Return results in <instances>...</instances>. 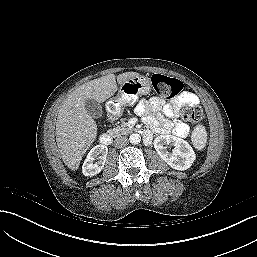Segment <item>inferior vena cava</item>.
<instances>
[{
  "instance_id": "inferior-vena-cava-1",
  "label": "inferior vena cava",
  "mask_w": 257,
  "mask_h": 257,
  "mask_svg": "<svg viewBox=\"0 0 257 257\" xmlns=\"http://www.w3.org/2000/svg\"><path fill=\"white\" fill-rule=\"evenodd\" d=\"M126 145H128V138L126 136H120L114 140V146L116 148H123Z\"/></svg>"
}]
</instances>
